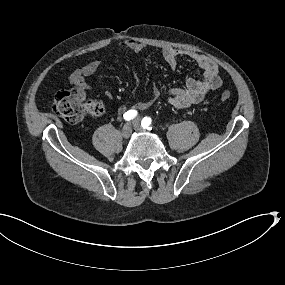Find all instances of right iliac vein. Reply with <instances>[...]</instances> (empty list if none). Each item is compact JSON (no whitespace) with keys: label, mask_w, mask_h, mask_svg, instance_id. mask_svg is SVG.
Segmentation results:
<instances>
[{"label":"right iliac vein","mask_w":285,"mask_h":285,"mask_svg":"<svg viewBox=\"0 0 285 285\" xmlns=\"http://www.w3.org/2000/svg\"><path fill=\"white\" fill-rule=\"evenodd\" d=\"M131 132H132V126L130 124H126L121 130V134L125 139H128L130 137Z\"/></svg>","instance_id":"right-iliac-vein-1"}]
</instances>
